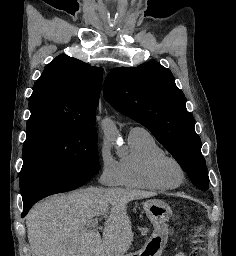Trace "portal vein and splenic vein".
Returning <instances> with one entry per match:
<instances>
[{
    "label": "portal vein and splenic vein",
    "mask_w": 236,
    "mask_h": 256,
    "mask_svg": "<svg viewBox=\"0 0 236 256\" xmlns=\"http://www.w3.org/2000/svg\"><path fill=\"white\" fill-rule=\"evenodd\" d=\"M87 226H88V228H97L98 218H93V220H89Z\"/></svg>",
    "instance_id": "obj_1"
}]
</instances>
